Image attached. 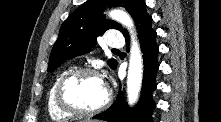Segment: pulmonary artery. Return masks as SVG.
Wrapping results in <instances>:
<instances>
[{
	"label": "pulmonary artery",
	"instance_id": "1",
	"mask_svg": "<svg viewBox=\"0 0 221 122\" xmlns=\"http://www.w3.org/2000/svg\"><path fill=\"white\" fill-rule=\"evenodd\" d=\"M106 42L109 47L114 49L122 48L124 46V38L117 32L110 34Z\"/></svg>",
	"mask_w": 221,
	"mask_h": 122
}]
</instances>
